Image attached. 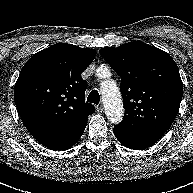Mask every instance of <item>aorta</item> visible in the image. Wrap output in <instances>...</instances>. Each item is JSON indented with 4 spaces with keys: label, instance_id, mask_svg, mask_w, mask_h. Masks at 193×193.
<instances>
[{
    "label": "aorta",
    "instance_id": "aorta-1",
    "mask_svg": "<svg viewBox=\"0 0 193 193\" xmlns=\"http://www.w3.org/2000/svg\"><path fill=\"white\" fill-rule=\"evenodd\" d=\"M101 93L107 118L112 123L121 122L124 114V107L120 91L115 82L111 80L103 82Z\"/></svg>",
    "mask_w": 193,
    "mask_h": 193
}]
</instances>
